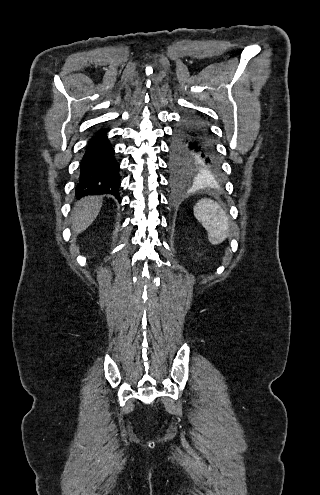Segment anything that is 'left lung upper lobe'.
Masks as SVG:
<instances>
[{
	"label": "left lung upper lobe",
	"mask_w": 320,
	"mask_h": 495,
	"mask_svg": "<svg viewBox=\"0 0 320 495\" xmlns=\"http://www.w3.org/2000/svg\"><path fill=\"white\" fill-rule=\"evenodd\" d=\"M170 167L177 176L191 173L207 174V165L197 152L184 125L177 128L171 146Z\"/></svg>",
	"instance_id": "5c2ea615"
}]
</instances>
